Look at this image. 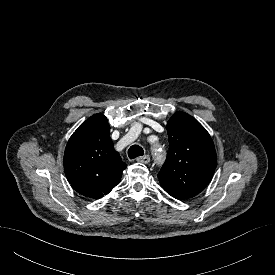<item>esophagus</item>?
<instances>
[{
    "instance_id": "esophagus-1",
    "label": "esophagus",
    "mask_w": 275,
    "mask_h": 275,
    "mask_svg": "<svg viewBox=\"0 0 275 275\" xmlns=\"http://www.w3.org/2000/svg\"><path fill=\"white\" fill-rule=\"evenodd\" d=\"M136 161L140 162V163L147 164L150 162V156L149 155L140 156L136 159Z\"/></svg>"
}]
</instances>
